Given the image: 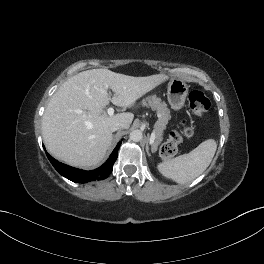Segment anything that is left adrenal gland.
<instances>
[{
    "label": "left adrenal gland",
    "mask_w": 264,
    "mask_h": 264,
    "mask_svg": "<svg viewBox=\"0 0 264 264\" xmlns=\"http://www.w3.org/2000/svg\"><path fill=\"white\" fill-rule=\"evenodd\" d=\"M148 140H149V136H148ZM146 152H147L148 156H150V152H149V141L146 144Z\"/></svg>",
    "instance_id": "left-adrenal-gland-1"
}]
</instances>
